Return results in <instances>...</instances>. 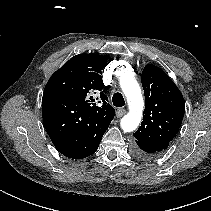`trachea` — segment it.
Instances as JSON below:
<instances>
[{
  "label": "trachea",
  "mask_w": 211,
  "mask_h": 211,
  "mask_svg": "<svg viewBox=\"0 0 211 211\" xmlns=\"http://www.w3.org/2000/svg\"><path fill=\"white\" fill-rule=\"evenodd\" d=\"M112 102L115 107H123L125 105V100L121 93H114L112 97Z\"/></svg>",
  "instance_id": "3493384b"
}]
</instances>
